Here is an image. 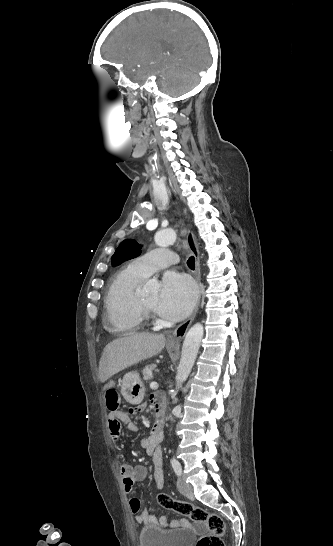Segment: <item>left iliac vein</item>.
I'll return each mask as SVG.
<instances>
[{
    "label": "left iliac vein",
    "mask_w": 333,
    "mask_h": 546,
    "mask_svg": "<svg viewBox=\"0 0 333 546\" xmlns=\"http://www.w3.org/2000/svg\"><path fill=\"white\" fill-rule=\"evenodd\" d=\"M178 490L185 495L192 493V486L185 482L183 478H179L177 481Z\"/></svg>",
    "instance_id": "4c4485c4"
}]
</instances>
